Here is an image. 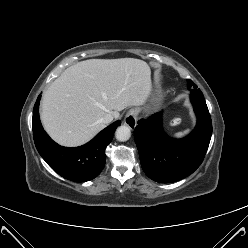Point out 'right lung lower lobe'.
I'll return each mask as SVG.
<instances>
[{
  "label": "right lung lower lobe",
  "instance_id": "1",
  "mask_svg": "<svg viewBox=\"0 0 248 248\" xmlns=\"http://www.w3.org/2000/svg\"><path fill=\"white\" fill-rule=\"evenodd\" d=\"M34 105L32 128L36 148L46 163L65 179L85 182L94 179L102 171L105 161V149L111 142L116 128L121 124L118 120L102 130L87 144L68 148L55 143L44 131L39 119V102Z\"/></svg>",
  "mask_w": 248,
  "mask_h": 248
}]
</instances>
